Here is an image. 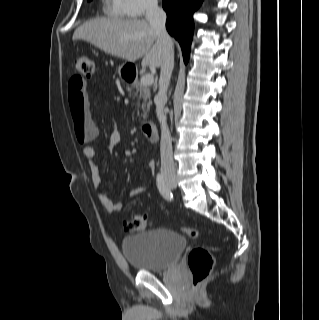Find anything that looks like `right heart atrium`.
I'll use <instances>...</instances> for the list:
<instances>
[{
  "label": "right heart atrium",
  "instance_id": "1",
  "mask_svg": "<svg viewBox=\"0 0 319 320\" xmlns=\"http://www.w3.org/2000/svg\"><path fill=\"white\" fill-rule=\"evenodd\" d=\"M121 10L129 17H142L157 7V0H118Z\"/></svg>",
  "mask_w": 319,
  "mask_h": 320
}]
</instances>
